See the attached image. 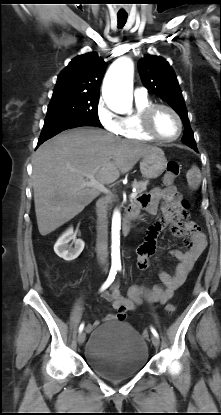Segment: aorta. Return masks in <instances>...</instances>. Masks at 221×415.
Listing matches in <instances>:
<instances>
[{
    "label": "aorta",
    "mask_w": 221,
    "mask_h": 415,
    "mask_svg": "<svg viewBox=\"0 0 221 415\" xmlns=\"http://www.w3.org/2000/svg\"><path fill=\"white\" fill-rule=\"evenodd\" d=\"M134 65L130 58L121 57L109 68L103 82L102 95L107 106L118 113L132 108ZM121 214L115 210L112 217V264L120 265Z\"/></svg>",
    "instance_id": "aorta-1"
}]
</instances>
